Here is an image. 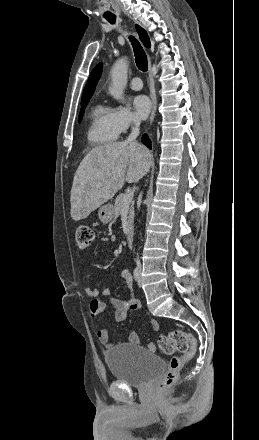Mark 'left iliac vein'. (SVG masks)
<instances>
[{"label":"left iliac vein","instance_id":"obj_1","mask_svg":"<svg viewBox=\"0 0 259 440\" xmlns=\"http://www.w3.org/2000/svg\"><path fill=\"white\" fill-rule=\"evenodd\" d=\"M139 274H140V277H139V282H138V284H139V286H141V285H142L141 269H139Z\"/></svg>","mask_w":259,"mask_h":440}]
</instances>
